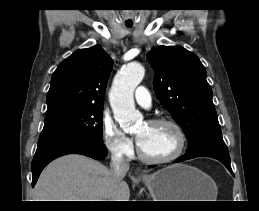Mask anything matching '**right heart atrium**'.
Masks as SVG:
<instances>
[{"label": "right heart atrium", "mask_w": 259, "mask_h": 211, "mask_svg": "<svg viewBox=\"0 0 259 211\" xmlns=\"http://www.w3.org/2000/svg\"><path fill=\"white\" fill-rule=\"evenodd\" d=\"M103 141L109 152L116 158H127L133 152L131 139L107 115L102 118Z\"/></svg>", "instance_id": "obj_1"}]
</instances>
